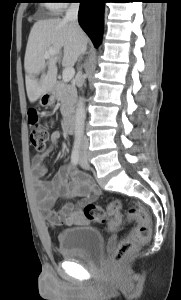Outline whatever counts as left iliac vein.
I'll return each instance as SVG.
<instances>
[{
    "label": "left iliac vein",
    "mask_w": 181,
    "mask_h": 300,
    "mask_svg": "<svg viewBox=\"0 0 181 300\" xmlns=\"http://www.w3.org/2000/svg\"><path fill=\"white\" fill-rule=\"evenodd\" d=\"M80 166L84 169L88 168L89 167V163H88V160H87V155L85 152H82L81 153V157H80Z\"/></svg>",
    "instance_id": "1"
}]
</instances>
